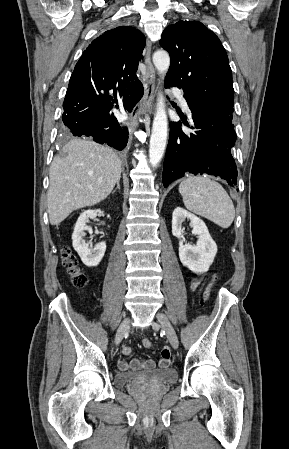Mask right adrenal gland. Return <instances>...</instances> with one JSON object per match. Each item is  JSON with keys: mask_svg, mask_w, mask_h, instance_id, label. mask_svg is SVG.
<instances>
[{"mask_svg": "<svg viewBox=\"0 0 289 449\" xmlns=\"http://www.w3.org/2000/svg\"><path fill=\"white\" fill-rule=\"evenodd\" d=\"M116 185H117V186H116V188L112 191V193H115L117 189L120 190V180L117 181Z\"/></svg>", "mask_w": 289, "mask_h": 449, "instance_id": "2a0ac1e0", "label": "right adrenal gland"}]
</instances>
